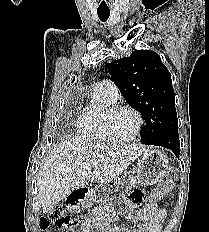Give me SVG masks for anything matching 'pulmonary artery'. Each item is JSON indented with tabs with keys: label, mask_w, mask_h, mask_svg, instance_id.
<instances>
[{
	"label": "pulmonary artery",
	"mask_w": 209,
	"mask_h": 232,
	"mask_svg": "<svg viewBox=\"0 0 209 232\" xmlns=\"http://www.w3.org/2000/svg\"><path fill=\"white\" fill-rule=\"evenodd\" d=\"M95 90L101 91L106 94L112 101H116L118 99L119 91L116 84L109 80H103L98 83L95 87Z\"/></svg>",
	"instance_id": "1"
}]
</instances>
